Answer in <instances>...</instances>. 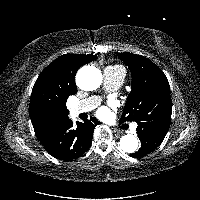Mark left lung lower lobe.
Segmentation results:
<instances>
[{"mask_svg":"<svg viewBox=\"0 0 200 200\" xmlns=\"http://www.w3.org/2000/svg\"><path fill=\"white\" fill-rule=\"evenodd\" d=\"M136 130L141 141V147L137 152L130 155L134 158H141L156 149L162 143L168 131L147 123L138 124Z\"/></svg>","mask_w":200,"mask_h":200,"instance_id":"obj_1","label":"left lung lower lobe"}]
</instances>
